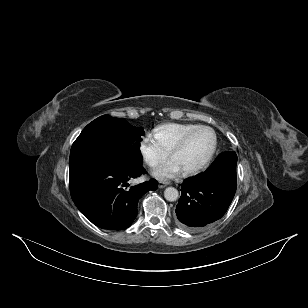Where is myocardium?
Returning <instances> with one entry per match:
<instances>
[{"label":"myocardium","instance_id":"f54148a6","mask_svg":"<svg viewBox=\"0 0 308 308\" xmlns=\"http://www.w3.org/2000/svg\"><path fill=\"white\" fill-rule=\"evenodd\" d=\"M202 130H208L213 134L214 142H213L212 149L210 153L208 154V156L206 157V159L201 164L193 168L183 170L185 175H194V174L200 173L210 165V163L212 162L216 154L217 148H218V137H217L216 132L214 131L213 128L209 126L200 125L190 130L189 132H187L169 151V154L172 157L173 154H175L176 152L184 148V146L188 143V141L193 135H195L197 132L202 131Z\"/></svg>","mask_w":308,"mask_h":308}]
</instances>
